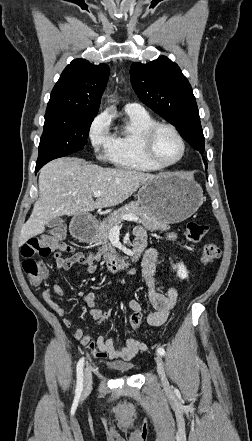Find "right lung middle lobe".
Returning <instances> with one entry per match:
<instances>
[{"mask_svg":"<svg viewBox=\"0 0 252 441\" xmlns=\"http://www.w3.org/2000/svg\"><path fill=\"white\" fill-rule=\"evenodd\" d=\"M95 116L67 111L46 112L36 165H44L83 149Z\"/></svg>","mask_w":252,"mask_h":441,"instance_id":"obj_1","label":"right lung middle lobe"}]
</instances>
